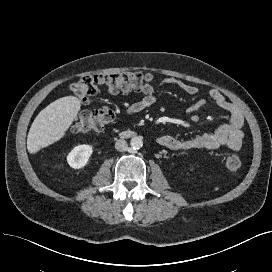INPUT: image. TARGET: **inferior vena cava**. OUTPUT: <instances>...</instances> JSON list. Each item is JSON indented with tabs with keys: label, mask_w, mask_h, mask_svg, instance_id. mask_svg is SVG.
Listing matches in <instances>:
<instances>
[{
	"label": "inferior vena cava",
	"mask_w": 272,
	"mask_h": 272,
	"mask_svg": "<svg viewBox=\"0 0 272 272\" xmlns=\"http://www.w3.org/2000/svg\"><path fill=\"white\" fill-rule=\"evenodd\" d=\"M128 148L127 142L123 139H119L115 143V149L117 151H125Z\"/></svg>",
	"instance_id": "inferior-vena-cava-1"
}]
</instances>
